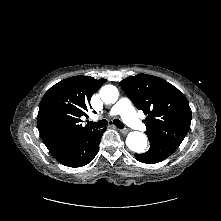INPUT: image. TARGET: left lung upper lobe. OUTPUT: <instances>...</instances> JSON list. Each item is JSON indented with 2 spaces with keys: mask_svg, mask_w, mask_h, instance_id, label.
<instances>
[{
  "mask_svg": "<svg viewBox=\"0 0 221 221\" xmlns=\"http://www.w3.org/2000/svg\"><path fill=\"white\" fill-rule=\"evenodd\" d=\"M119 85L135 107L148 115L144 123L149 140L158 139L178 147L192 119L186 97L172 84L152 75L130 76Z\"/></svg>",
  "mask_w": 221,
  "mask_h": 221,
  "instance_id": "1",
  "label": "left lung upper lobe"
}]
</instances>
